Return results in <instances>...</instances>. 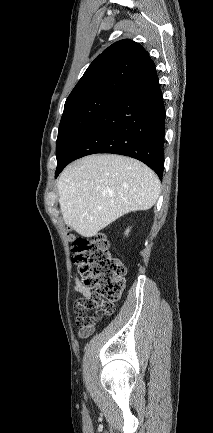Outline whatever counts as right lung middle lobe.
<instances>
[{"label": "right lung middle lobe", "mask_w": 213, "mask_h": 433, "mask_svg": "<svg viewBox=\"0 0 213 433\" xmlns=\"http://www.w3.org/2000/svg\"><path fill=\"white\" fill-rule=\"evenodd\" d=\"M120 95L116 92H102L65 103L58 131L57 159L74 138Z\"/></svg>", "instance_id": "dd1d6c3e"}]
</instances>
